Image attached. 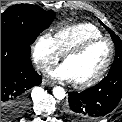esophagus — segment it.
I'll use <instances>...</instances> for the list:
<instances>
[{
  "instance_id": "esophagus-1",
  "label": "esophagus",
  "mask_w": 122,
  "mask_h": 122,
  "mask_svg": "<svg viewBox=\"0 0 122 122\" xmlns=\"http://www.w3.org/2000/svg\"><path fill=\"white\" fill-rule=\"evenodd\" d=\"M42 84L47 85V86H51V87L54 86L53 82L46 80V79H43Z\"/></svg>"
}]
</instances>
